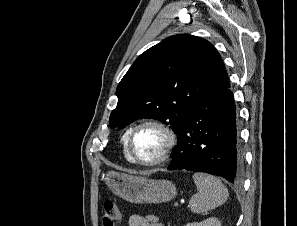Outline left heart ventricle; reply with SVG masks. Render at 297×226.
<instances>
[{"label": "left heart ventricle", "mask_w": 297, "mask_h": 226, "mask_svg": "<svg viewBox=\"0 0 297 226\" xmlns=\"http://www.w3.org/2000/svg\"><path fill=\"white\" fill-rule=\"evenodd\" d=\"M165 143V136L157 128L147 126L139 129L133 139L135 155L144 161L156 158Z\"/></svg>", "instance_id": "left-heart-ventricle-1"}]
</instances>
